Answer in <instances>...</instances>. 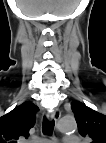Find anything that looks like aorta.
Here are the masks:
<instances>
[{
	"label": "aorta",
	"mask_w": 106,
	"mask_h": 143,
	"mask_svg": "<svg viewBox=\"0 0 106 143\" xmlns=\"http://www.w3.org/2000/svg\"><path fill=\"white\" fill-rule=\"evenodd\" d=\"M58 128L61 132L72 133L76 130L77 124L73 117H64L59 121Z\"/></svg>",
	"instance_id": "1"
}]
</instances>
